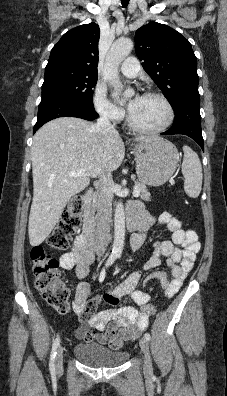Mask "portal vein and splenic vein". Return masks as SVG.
Returning <instances> with one entry per match:
<instances>
[{
  "label": "portal vein and splenic vein",
  "instance_id": "obj_1",
  "mask_svg": "<svg viewBox=\"0 0 227 396\" xmlns=\"http://www.w3.org/2000/svg\"><path fill=\"white\" fill-rule=\"evenodd\" d=\"M85 175H86V173L84 170L72 171L69 173L70 177H82ZM139 195H140V192L136 188H134L133 196L138 197Z\"/></svg>",
  "mask_w": 227,
  "mask_h": 396
}]
</instances>
